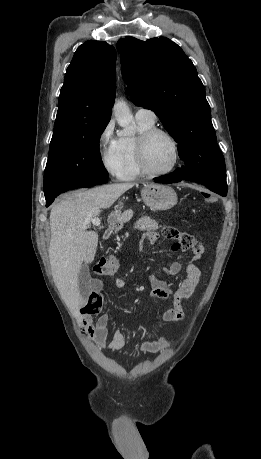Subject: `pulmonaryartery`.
Returning <instances> with one entry per match:
<instances>
[{
  "label": "pulmonary artery",
  "instance_id": "pulmonary-artery-1",
  "mask_svg": "<svg viewBox=\"0 0 261 459\" xmlns=\"http://www.w3.org/2000/svg\"><path fill=\"white\" fill-rule=\"evenodd\" d=\"M135 118L136 119L147 120V121H155L156 120V114L150 109L139 108L135 113Z\"/></svg>",
  "mask_w": 261,
  "mask_h": 459
}]
</instances>
